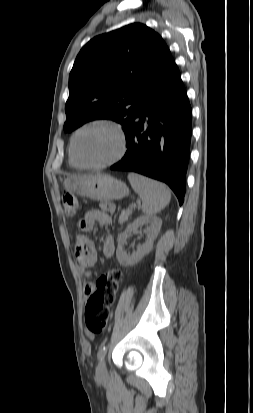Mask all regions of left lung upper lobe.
<instances>
[{
  "mask_svg": "<svg viewBox=\"0 0 253 413\" xmlns=\"http://www.w3.org/2000/svg\"><path fill=\"white\" fill-rule=\"evenodd\" d=\"M172 59L161 36L141 23L94 37L70 72L64 131L111 119L122 124L126 134Z\"/></svg>",
  "mask_w": 253,
  "mask_h": 413,
  "instance_id": "5c2ea615",
  "label": "left lung upper lobe"
}]
</instances>
